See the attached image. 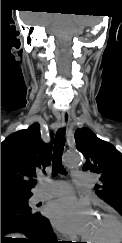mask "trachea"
I'll return each instance as SVG.
<instances>
[{"label": "trachea", "mask_w": 122, "mask_h": 243, "mask_svg": "<svg viewBox=\"0 0 122 243\" xmlns=\"http://www.w3.org/2000/svg\"><path fill=\"white\" fill-rule=\"evenodd\" d=\"M65 145V128L59 129L55 136L54 141V151L52 158V173L57 175V173H65L62 165V154Z\"/></svg>", "instance_id": "obj_1"}]
</instances>
